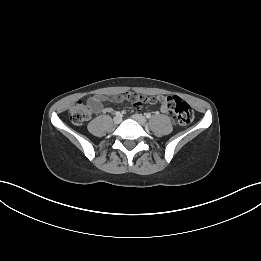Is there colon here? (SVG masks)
<instances>
[{"label":"colon","mask_w":261,"mask_h":261,"mask_svg":"<svg viewBox=\"0 0 261 261\" xmlns=\"http://www.w3.org/2000/svg\"><path fill=\"white\" fill-rule=\"evenodd\" d=\"M160 101L166 107L167 113L176 117L180 124L188 125L193 121L194 111L187 102L175 96H164ZM69 114L72 123L81 125L90 119L92 112L89 106L78 101L71 106Z\"/></svg>","instance_id":"5ec220e1"}]
</instances>
